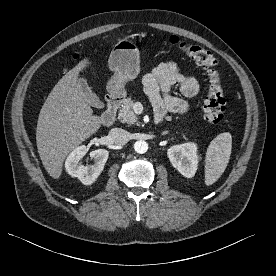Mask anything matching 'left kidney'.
Returning <instances> with one entry per match:
<instances>
[{"mask_svg": "<svg viewBox=\"0 0 276 276\" xmlns=\"http://www.w3.org/2000/svg\"><path fill=\"white\" fill-rule=\"evenodd\" d=\"M197 152V145L193 142H187L170 147L167 155L174 168L184 177L191 178L195 175L198 167Z\"/></svg>", "mask_w": 276, "mask_h": 276, "instance_id": "left-kidney-1", "label": "left kidney"}]
</instances>
